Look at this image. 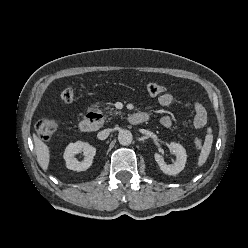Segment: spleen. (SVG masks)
Masks as SVG:
<instances>
[{"mask_svg":"<svg viewBox=\"0 0 248 248\" xmlns=\"http://www.w3.org/2000/svg\"><path fill=\"white\" fill-rule=\"evenodd\" d=\"M212 142H213V135L209 132L206 135L204 145L202 147L201 153H200L199 158H198V166L199 167L203 166L205 164V162L207 161V158H208L210 151H211Z\"/></svg>","mask_w":248,"mask_h":248,"instance_id":"obj_1","label":"spleen"}]
</instances>
